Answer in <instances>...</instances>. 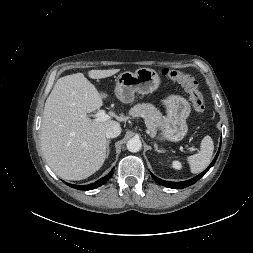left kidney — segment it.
Returning <instances> with one entry per match:
<instances>
[{"label": "left kidney", "instance_id": "1", "mask_svg": "<svg viewBox=\"0 0 253 253\" xmlns=\"http://www.w3.org/2000/svg\"><path fill=\"white\" fill-rule=\"evenodd\" d=\"M172 167L174 168V169H181V167H182V165H181V163L179 162V161H173L172 162Z\"/></svg>", "mask_w": 253, "mask_h": 253}]
</instances>
